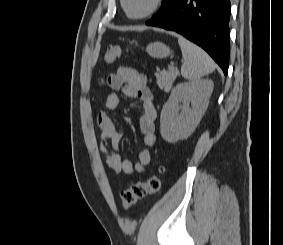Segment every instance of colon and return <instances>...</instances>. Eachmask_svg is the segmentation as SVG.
Wrapping results in <instances>:
<instances>
[{
    "mask_svg": "<svg viewBox=\"0 0 283 245\" xmlns=\"http://www.w3.org/2000/svg\"><path fill=\"white\" fill-rule=\"evenodd\" d=\"M124 54L125 51L120 47L110 46L104 53L103 62L105 64H110ZM163 171V166H159L157 172L150 176L147 180L136 182L128 189L122 191L121 202L123 209L128 211L145 196L158 193L161 189L160 175L163 173Z\"/></svg>",
    "mask_w": 283,
    "mask_h": 245,
    "instance_id": "obj_1",
    "label": "colon"
}]
</instances>
